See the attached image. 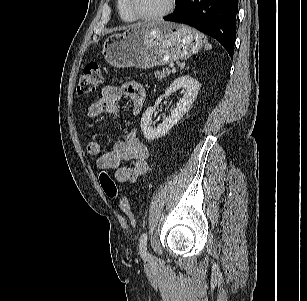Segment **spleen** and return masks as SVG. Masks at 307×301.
<instances>
[{
    "instance_id": "1",
    "label": "spleen",
    "mask_w": 307,
    "mask_h": 301,
    "mask_svg": "<svg viewBox=\"0 0 307 301\" xmlns=\"http://www.w3.org/2000/svg\"><path fill=\"white\" fill-rule=\"evenodd\" d=\"M211 48H212L211 44L205 43V49H206V50L211 49Z\"/></svg>"
}]
</instances>
